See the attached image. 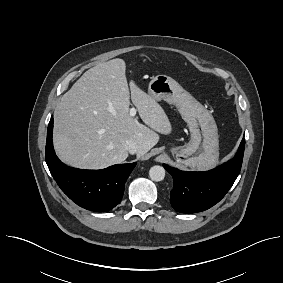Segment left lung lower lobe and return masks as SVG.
Returning a JSON list of instances; mask_svg holds the SVG:
<instances>
[{
    "label": "left lung lower lobe",
    "instance_id": "obj_1",
    "mask_svg": "<svg viewBox=\"0 0 283 283\" xmlns=\"http://www.w3.org/2000/svg\"><path fill=\"white\" fill-rule=\"evenodd\" d=\"M244 146L243 139L232 160L206 172L180 171L163 164L174 180V186L170 192L173 208L180 213H196L218 203L240 173Z\"/></svg>",
    "mask_w": 283,
    "mask_h": 283
}]
</instances>
